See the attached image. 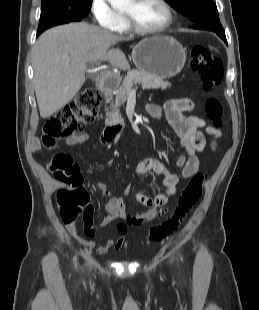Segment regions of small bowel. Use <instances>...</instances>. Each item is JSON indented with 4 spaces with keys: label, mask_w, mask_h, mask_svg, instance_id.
Wrapping results in <instances>:
<instances>
[{
    "label": "small bowel",
    "mask_w": 259,
    "mask_h": 310,
    "mask_svg": "<svg viewBox=\"0 0 259 310\" xmlns=\"http://www.w3.org/2000/svg\"><path fill=\"white\" fill-rule=\"evenodd\" d=\"M146 111L150 116L159 121H161L164 116L179 136V146L182 150V155L178 158L176 165L181 169L183 178H190L193 176L200 167L198 153L203 151L207 144L201 129L204 128L205 131L212 136L211 147L213 149L217 146L216 141L221 137V132L216 128L206 126L205 121L194 114L195 104L190 99H170L164 103L163 107L154 103H148L146 105ZM164 132L167 133L168 130L165 129ZM88 140L89 135L82 133L66 139L65 144L70 147H75L86 143ZM31 149L35 153L41 150V144L37 139L31 142ZM136 172L138 174L155 173L162 176L164 191L153 197L139 192L136 193V200L149 209L145 212L131 215L126 213L122 197L111 196L105 206L107 215L100 221V226H107L116 218L124 219L129 225H141L165 213L169 199L177 191L178 176L170 172L162 162L154 158L141 160L136 165ZM98 186L104 196H110L109 187L105 182H99ZM93 213L94 210L91 206V209L86 211L83 218L84 233L88 237L94 235V230L92 228ZM67 230L74 235L77 233L74 225L67 226ZM86 243L90 246L94 245V242L91 240L86 241ZM123 245L124 235L120 234L116 240L108 239L105 243L98 245L96 251L98 254L104 255L112 248L121 249Z\"/></svg>",
    "instance_id": "obj_1"
}]
</instances>
